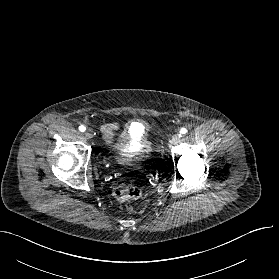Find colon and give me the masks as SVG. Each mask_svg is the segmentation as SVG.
I'll list each match as a JSON object with an SVG mask.
<instances>
[{
  "instance_id": "obj_1",
  "label": "colon",
  "mask_w": 279,
  "mask_h": 279,
  "mask_svg": "<svg viewBox=\"0 0 279 279\" xmlns=\"http://www.w3.org/2000/svg\"><path fill=\"white\" fill-rule=\"evenodd\" d=\"M141 189L134 184H120L113 189V196L119 202H130L140 198Z\"/></svg>"
}]
</instances>
